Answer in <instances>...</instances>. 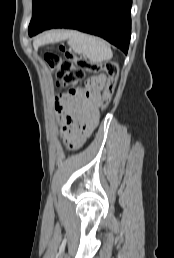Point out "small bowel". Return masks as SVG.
<instances>
[{
  "label": "small bowel",
  "mask_w": 174,
  "mask_h": 258,
  "mask_svg": "<svg viewBox=\"0 0 174 258\" xmlns=\"http://www.w3.org/2000/svg\"><path fill=\"white\" fill-rule=\"evenodd\" d=\"M107 85L106 76L100 74L88 80L86 85L72 97L60 94L54 106L62 126V135L71 149L82 146L99 122L102 105L100 89Z\"/></svg>",
  "instance_id": "c3829d8e"
}]
</instances>
